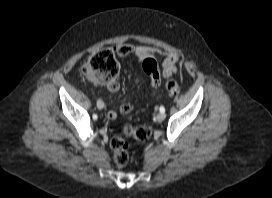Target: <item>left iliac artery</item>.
<instances>
[{
	"label": "left iliac artery",
	"instance_id": "left-iliac-artery-1",
	"mask_svg": "<svg viewBox=\"0 0 272 198\" xmlns=\"http://www.w3.org/2000/svg\"><path fill=\"white\" fill-rule=\"evenodd\" d=\"M160 112L165 113V108L163 106L160 107Z\"/></svg>",
	"mask_w": 272,
	"mask_h": 198
}]
</instances>
